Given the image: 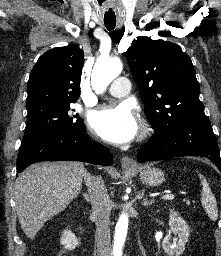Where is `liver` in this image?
I'll return each mask as SVG.
<instances>
[{
	"instance_id": "obj_1",
	"label": "liver",
	"mask_w": 221,
	"mask_h": 256,
	"mask_svg": "<svg viewBox=\"0 0 221 256\" xmlns=\"http://www.w3.org/2000/svg\"><path fill=\"white\" fill-rule=\"evenodd\" d=\"M87 170L72 161L29 166L15 182L17 216L25 235L34 239L45 222L63 211L78 196Z\"/></svg>"
}]
</instances>
